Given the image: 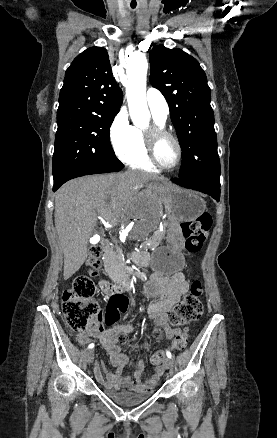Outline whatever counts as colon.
Returning a JSON list of instances; mask_svg holds the SVG:
<instances>
[{"instance_id": "1", "label": "colon", "mask_w": 277, "mask_h": 438, "mask_svg": "<svg viewBox=\"0 0 277 438\" xmlns=\"http://www.w3.org/2000/svg\"><path fill=\"white\" fill-rule=\"evenodd\" d=\"M211 227V216L208 213H202L195 222L183 221L181 223V232L185 238V249L192 254L198 253L208 235ZM102 248L98 245L92 246L88 256V264L92 271L86 276H78L74 279L71 286L64 290L62 294V314L69 326L74 330H88L100 328L103 320V309L93 299L95 285L93 278L96 276L95 268L101 263ZM119 284V283H118ZM202 286L200 282L195 283L191 292L180 301L169 317L173 324L184 326L200 317L204 311L203 304L200 300ZM155 335H162L160 330L155 331ZM188 340L187 332L179 333L174 338V347L182 349L186 346ZM121 344L127 343V336H119ZM164 360V354L155 353L151 362L160 364Z\"/></svg>"}]
</instances>
